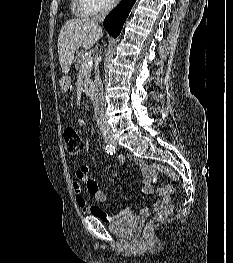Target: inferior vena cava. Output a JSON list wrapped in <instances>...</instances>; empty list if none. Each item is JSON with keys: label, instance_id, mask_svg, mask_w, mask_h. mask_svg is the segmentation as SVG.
Masks as SVG:
<instances>
[{"label": "inferior vena cava", "instance_id": "inferior-vena-cava-1", "mask_svg": "<svg viewBox=\"0 0 233 263\" xmlns=\"http://www.w3.org/2000/svg\"><path fill=\"white\" fill-rule=\"evenodd\" d=\"M117 0H107L105 6L99 14H97L92 20L100 27L98 24L103 22L107 14L115 7ZM101 28V27H100ZM95 101H94V112L97 124L103 131H110L111 127L107 122V117L105 115L106 104L103 96V83L100 77H97L95 82Z\"/></svg>", "mask_w": 233, "mask_h": 263}]
</instances>
